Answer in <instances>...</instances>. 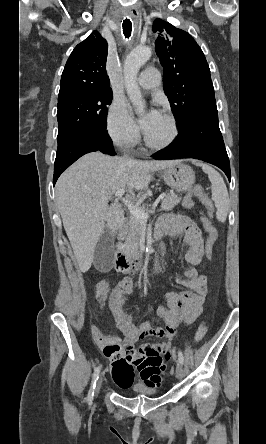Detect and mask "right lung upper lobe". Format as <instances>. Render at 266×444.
Returning a JSON list of instances; mask_svg holds the SVG:
<instances>
[{
    "label": "right lung upper lobe",
    "instance_id": "right-lung-upper-lobe-1",
    "mask_svg": "<svg viewBox=\"0 0 266 444\" xmlns=\"http://www.w3.org/2000/svg\"><path fill=\"white\" fill-rule=\"evenodd\" d=\"M108 44L94 31L72 51L62 73L58 100L97 90H108Z\"/></svg>",
    "mask_w": 266,
    "mask_h": 444
}]
</instances>
